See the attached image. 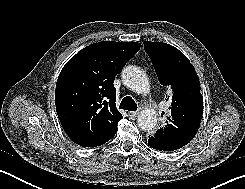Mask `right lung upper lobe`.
<instances>
[{"mask_svg":"<svg viewBox=\"0 0 245 189\" xmlns=\"http://www.w3.org/2000/svg\"><path fill=\"white\" fill-rule=\"evenodd\" d=\"M140 43L103 41L80 50L61 70L55 91L59 120L78 145L110 140L123 117L116 108L115 76L139 51Z\"/></svg>","mask_w":245,"mask_h":189,"instance_id":"obj_1","label":"right lung upper lobe"}]
</instances>
